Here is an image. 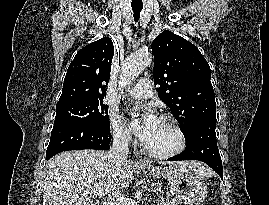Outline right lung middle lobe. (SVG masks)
Listing matches in <instances>:
<instances>
[{"label":"right lung middle lobe","instance_id":"1","mask_svg":"<svg viewBox=\"0 0 269 205\" xmlns=\"http://www.w3.org/2000/svg\"><path fill=\"white\" fill-rule=\"evenodd\" d=\"M62 123H83L109 129L108 106L102 101L57 106L54 125Z\"/></svg>","mask_w":269,"mask_h":205}]
</instances>
